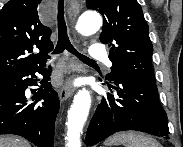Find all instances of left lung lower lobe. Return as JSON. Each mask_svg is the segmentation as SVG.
I'll use <instances>...</instances> for the list:
<instances>
[{
  "mask_svg": "<svg viewBox=\"0 0 183 147\" xmlns=\"http://www.w3.org/2000/svg\"><path fill=\"white\" fill-rule=\"evenodd\" d=\"M105 84L110 90L115 89L119 98L110 93L102 98L87 130V146L127 130L168 138L167 115L160 104L156 82L122 74L114 78L115 86Z\"/></svg>",
  "mask_w": 183,
  "mask_h": 147,
  "instance_id": "1",
  "label": "left lung lower lobe"
}]
</instances>
